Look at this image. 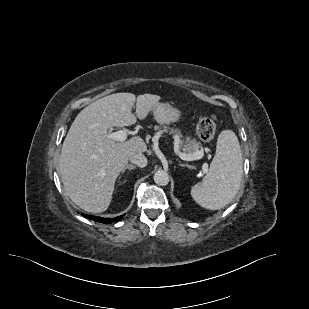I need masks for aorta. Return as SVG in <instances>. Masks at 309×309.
<instances>
[{
    "label": "aorta",
    "instance_id": "aorta-1",
    "mask_svg": "<svg viewBox=\"0 0 309 309\" xmlns=\"http://www.w3.org/2000/svg\"><path fill=\"white\" fill-rule=\"evenodd\" d=\"M154 182L157 185L165 186L169 183V174L165 170H158L154 174Z\"/></svg>",
    "mask_w": 309,
    "mask_h": 309
}]
</instances>
